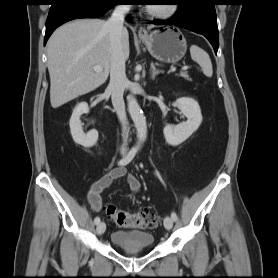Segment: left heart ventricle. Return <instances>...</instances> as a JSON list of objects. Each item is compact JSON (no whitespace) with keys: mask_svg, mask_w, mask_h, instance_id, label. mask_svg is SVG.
<instances>
[{"mask_svg":"<svg viewBox=\"0 0 278 278\" xmlns=\"http://www.w3.org/2000/svg\"><path fill=\"white\" fill-rule=\"evenodd\" d=\"M167 6L168 5H153L151 6V8L160 10V9H165Z\"/></svg>","mask_w":278,"mask_h":278,"instance_id":"left-heart-ventricle-1","label":"left heart ventricle"}]
</instances>
